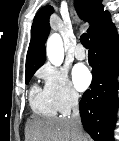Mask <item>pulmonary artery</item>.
Segmentation results:
<instances>
[{
  "label": "pulmonary artery",
  "mask_w": 119,
  "mask_h": 141,
  "mask_svg": "<svg viewBox=\"0 0 119 141\" xmlns=\"http://www.w3.org/2000/svg\"><path fill=\"white\" fill-rule=\"evenodd\" d=\"M74 56L76 59L78 60H84L86 58V52L84 47L81 44H78L75 48H74Z\"/></svg>",
  "instance_id": "obj_1"
}]
</instances>
